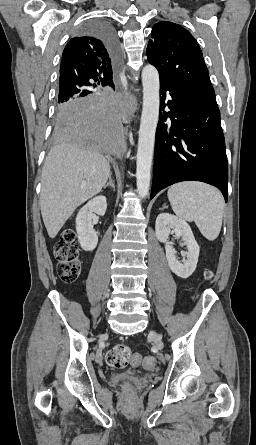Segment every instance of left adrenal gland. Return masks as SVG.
I'll use <instances>...</instances> for the list:
<instances>
[{"label": "left adrenal gland", "mask_w": 256, "mask_h": 445, "mask_svg": "<svg viewBox=\"0 0 256 445\" xmlns=\"http://www.w3.org/2000/svg\"><path fill=\"white\" fill-rule=\"evenodd\" d=\"M165 208H167V206H166V205H164L162 209H165Z\"/></svg>", "instance_id": "left-adrenal-gland-1"}]
</instances>
